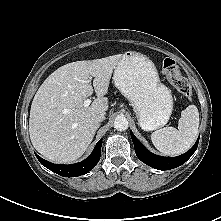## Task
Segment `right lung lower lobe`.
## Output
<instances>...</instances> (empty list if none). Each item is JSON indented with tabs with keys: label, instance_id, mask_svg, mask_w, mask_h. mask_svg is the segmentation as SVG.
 <instances>
[{
	"label": "right lung lower lobe",
	"instance_id": "1",
	"mask_svg": "<svg viewBox=\"0 0 221 221\" xmlns=\"http://www.w3.org/2000/svg\"><path fill=\"white\" fill-rule=\"evenodd\" d=\"M101 146H102V141L99 140L93 152L87 159H85L82 162L71 164V165L53 164L42 159L38 155H36V157L43 166L57 173L58 175H61L63 177H77V176L88 173L99 162L100 155H101Z\"/></svg>",
	"mask_w": 221,
	"mask_h": 221
}]
</instances>
